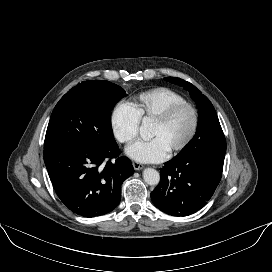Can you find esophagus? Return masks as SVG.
Here are the masks:
<instances>
[{
  "mask_svg": "<svg viewBox=\"0 0 272 272\" xmlns=\"http://www.w3.org/2000/svg\"><path fill=\"white\" fill-rule=\"evenodd\" d=\"M133 167L135 170H142L144 168V166L140 163L137 162H133Z\"/></svg>",
  "mask_w": 272,
  "mask_h": 272,
  "instance_id": "esophagus-1",
  "label": "esophagus"
}]
</instances>
